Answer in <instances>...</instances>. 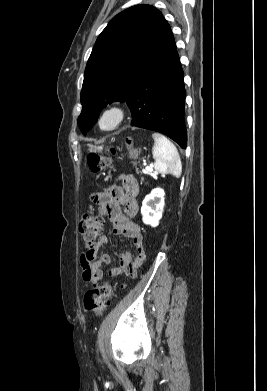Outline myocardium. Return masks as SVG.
<instances>
[{
    "mask_svg": "<svg viewBox=\"0 0 267 391\" xmlns=\"http://www.w3.org/2000/svg\"><path fill=\"white\" fill-rule=\"evenodd\" d=\"M108 114H113L115 116L116 120H115V123L113 126H111L110 128H104L102 126V121H103V118ZM126 115H127V112H126V109L124 108V106H122L121 104H116V103L110 104V105L104 107L102 109V111L100 112L98 119H97V125H98L99 129L103 132H107V133L113 132L122 126V124L124 123V121L126 119Z\"/></svg>",
    "mask_w": 267,
    "mask_h": 391,
    "instance_id": "f54148a6",
    "label": "myocardium"
}]
</instances>
